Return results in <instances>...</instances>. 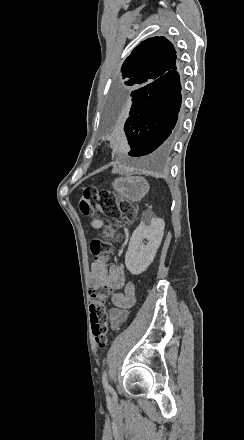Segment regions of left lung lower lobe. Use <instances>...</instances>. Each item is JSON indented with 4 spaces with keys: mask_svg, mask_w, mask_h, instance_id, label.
Here are the masks:
<instances>
[{
    "mask_svg": "<svg viewBox=\"0 0 244 440\" xmlns=\"http://www.w3.org/2000/svg\"><path fill=\"white\" fill-rule=\"evenodd\" d=\"M176 65L157 80L124 93L115 102V112L127 117L124 130L130 156H144L155 150L165 152L175 142L181 106L180 77ZM128 86V85H127Z\"/></svg>",
    "mask_w": 244,
    "mask_h": 440,
    "instance_id": "obj_1",
    "label": "left lung lower lobe"
}]
</instances>
